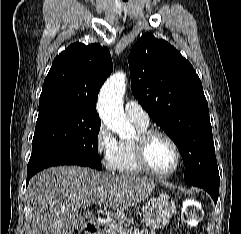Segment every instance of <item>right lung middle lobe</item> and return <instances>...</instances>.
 <instances>
[{
    "mask_svg": "<svg viewBox=\"0 0 241 234\" xmlns=\"http://www.w3.org/2000/svg\"><path fill=\"white\" fill-rule=\"evenodd\" d=\"M100 125L98 115L77 107H39L31 157L52 150H62L78 156L89 167L102 170L97 139Z\"/></svg>",
    "mask_w": 241,
    "mask_h": 234,
    "instance_id": "right-lung-middle-lobe-1",
    "label": "right lung middle lobe"
}]
</instances>
